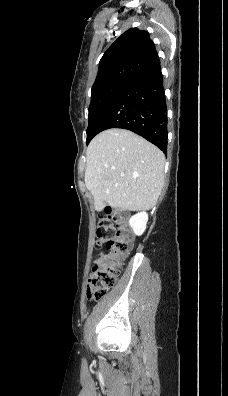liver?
I'll list each match as a JSON object with an SVG mask.
<instances>
[{"label":"liver","instance_id":"liver-1","mask_svg":"<svg viewBox=\"0 0 228 396\" xmlns=\"http://www.w3.org/2000/svg\"><path fill=\"white\" fill-rule=\"evenodd\" d=\"M85 185L101 211L106 204L128 211L150 210L164 183V154L124 129H109L90 142Z\"/></svg>","mask_w":228,"mask_h":396}]
</instances>
